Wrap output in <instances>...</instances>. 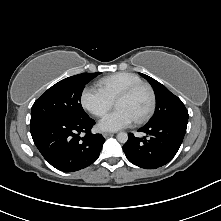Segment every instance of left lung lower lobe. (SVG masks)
<instances>
[{"label":"left lung lower lobe","mask_w":221,"mask_h":221,"mask_svg":"<svg viewBox=\"0 0 221 221\" xmlns=\"http://www.w3.org/2000/svg\"><path fill=\"white\" fill-rule=\"evenodd\" d=\"M188 119L174 118L156 124H146L138 131L146 134L137 138L129 133L123 150L136 166L156 169L167 164L177 153L183 141Z\"/></svg>","instance_id":"1"}]
</instances>
